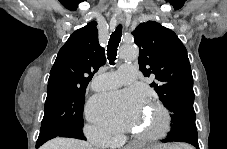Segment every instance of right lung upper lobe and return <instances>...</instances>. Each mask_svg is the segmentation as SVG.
I'll return each instance as SVG.
<instances>
[{
	"label": "right lung upper lobe",
	"mask_w": 227,
	"mask_h": 149,
	"mask_svg": "<svg viewBox=\"0 0 227 149\" xmlns=\"http://www.w3.org/2000/svg\"><path fill=\"white\" fill-rule=\"evenodd\" d=\"M96 26L97 22L92 21L76 30L60 49L50 71L48 91L86 89L94 73L105 64Z\"/></svg>",
	"instance_id": "cb5924a9"
}]
</instances>
